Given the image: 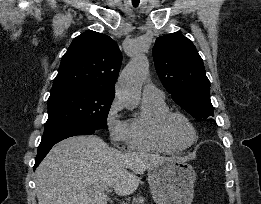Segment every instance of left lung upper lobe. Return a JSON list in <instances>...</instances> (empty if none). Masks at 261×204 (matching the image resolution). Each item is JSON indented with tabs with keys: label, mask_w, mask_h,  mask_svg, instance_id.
I'll return each instance as SVG.
<instances>
[{
	"label": "left lung upper lobe",
	"mask_w": 261,
	"mask_h": 204,
	"mask_svg": "<svg viewBox=\"0 0 261 204\" xmlns=\"http://www.w3.org/2000/svg\"><path fill=\"white\" fill-rule=\"evenodd\" d=\"M152 53L157 74L173 100L198 120L213 116L210 82L194 44L171 33L156 39Z\"/></svg>",
	"instance_id": "obj_1"
}]
</instances>
